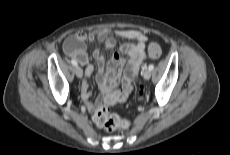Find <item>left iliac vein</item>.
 I'll return each instance as SVG.
<instances>
[{
    "label": "left iliac vein",
    "mask_w": 230,
    "mask_h": 155,
    "mask_svg": "<svg viewBox=\"0 0 230 155\" xmlns=\"http://www.w3.org/2000/svg\"><path fill=\"white\" fill-rule=\"evenodd\" d=\"M143 77L148 80L151 77V71L149 69H146L143 71Z\"/></svg>",
    "instance_id": "4c4485c4"
}]
</instances>
